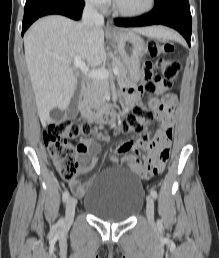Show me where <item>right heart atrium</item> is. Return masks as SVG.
<instances>
[{"instance_id":"obj_1","label":"right heart atrium","mask_w":219,"mask_h":258,"mask_svg":"<svg viewBox=\"0 0 219 258\" xmlns=\"http://www.w3.org/2000/svg\"><path fill=\"white\" fill-rule=\"evenodd\" d=\"M89 6L95 9H106L109 4L110 0H84Z\"/></svg>"}]
</instances>
